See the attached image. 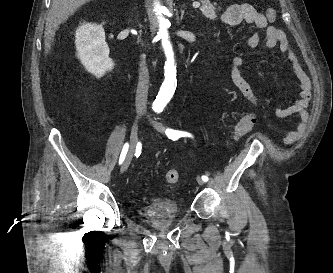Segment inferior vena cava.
I'll use <instances>...</instances> for the list:
<instances>
[{"label": "inferior vena cava", "mask_w": 333, "mask_h": 273, "mask_svg": "<svg viewBox=\"0 0 333 273\" xmlns=\"http://www.w3.org/2000/svg\"><path fill=\"white\" fill-rule=\"evenodd\" d=\"M149 88V73L146 66L145 56H141L139 68V81L136 92V110L142 112L146 109Z\"/></svg>", "instance_id": "602c4592"}]
</instances>
